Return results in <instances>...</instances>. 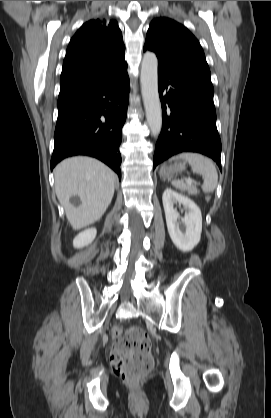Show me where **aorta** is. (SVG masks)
I'll return each mask as SVG.
<instances>
[{
    "label": "aorta",
    "mask_w": 271,
    "mask_h": 418,
    "mask_svg": "<svg viewBox=\"0 0 271 418\" xmlns=\"http://www.w3.org/2000/svg\"><path fill=\"white\" fill-rule=\"evenodd\" d=\"M140 81L146 119L156 137L162 128V109L158 93V59L154 52H145L143 56Z\"/></svg>",
    "instance_id": "obj_1"
}]
</instances>
